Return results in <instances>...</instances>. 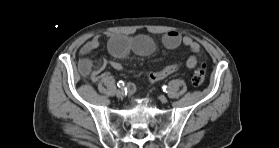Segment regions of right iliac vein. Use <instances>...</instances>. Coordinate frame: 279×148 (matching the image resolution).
I'll list each match as a JSON object with an SVG mask.
<instances>
[{
	"label": "right iliac vein",
	"mask_w": 279,
	"mask_h": 148,
	"mask_svg": "<svg viewBox=\"0 0 279 148\" xmlns=\"http://www.w3.org/2000/svg\"><path fill=\"white\" fill-rule=\"evenodd\" d=\"M122 95H123L122 91L118 89V90L116 91V96H117L118 98H120V97H122Z\"/></svg>",
	"instance_id": "63e3f726"
}]
</instances>
